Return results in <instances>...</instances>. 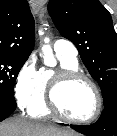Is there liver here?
I'll list each match as a JSON object with an SVG mask.
<instances>
[{
  "instance_id": "1",
  "label": "liver",
  "mask_w": 117,
  "mask_h": 136,
  "mask_svg": "<svg viewBox=\"0 0 117 136\" xmlns=\"http://www.w3.org/2000/svg\"><path fill=\"white\" fill-rule=\"evenodd\" d=\"M0 136H79L77 133L43 123L14 117L0 123Z\"/></svg>"
}]
</instances>
